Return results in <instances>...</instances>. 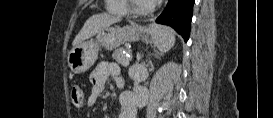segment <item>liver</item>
Listing matches in <instances>:
<instances>
[{
    "label": "liver",
    "instance_id": "obj_1",
    "mask_svg": "<svg viewBox=\"0 0 273 118\" xmlns=\"http://www.w3.org/2000/svg\"><path fill=\"white\" fill-rule=\"evenodd\" d=\"M120 21V17H116L110 14H95L91 16L84 24L80 32L76 35L72 42L73 47L91 38L102 29L110 26L111 24Z\"/></svg>",
    "mask_w": 273,
    "mask_h": 118
}]
</instances>
